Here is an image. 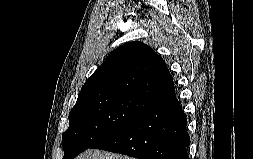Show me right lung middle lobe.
<instances>
[{
	"instance_id": "1",
	"label": "right lung middle lobe",
	"mask_w": 253,
	"mask_h": 159,
	"mask_svg": "<svg viewBox=\"0 0 253 159\" xmlns=\"http://www.w3.org/2000/svg\"><path fill=\"white\" fill-rule=\"evenodd\" d=\"M155 104L130 95L77 100L69 113V128L62 137L63 159H73L100 140L127 126Z\"/></svg>"
}]
</instances>
